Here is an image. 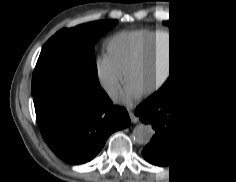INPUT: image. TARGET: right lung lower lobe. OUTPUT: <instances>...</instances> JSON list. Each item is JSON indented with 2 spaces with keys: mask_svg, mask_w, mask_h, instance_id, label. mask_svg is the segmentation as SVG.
I'll return each mask as SVG.
<instances>
[{
  "mask_svg": "<svg viewBox=\"0 0 236 182\" xmlns=\"http://www.w3.org/2000/svg\"><path fill=\"white\" fill-rule=\"evenodd\" d=\"M101 93L96 101L82 88L67 84L33 95L40 132L63 161H90L112 132L130 124L127 111L114 106L102 89Z\"/></svg>",
  "mask_w": 236,
  "mask_h": 182,
  "instance_id": "right-lung-lower-lobe-1",
  "label": "right lung lower lobe"
}]
</instances>
